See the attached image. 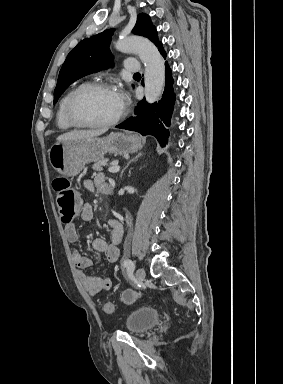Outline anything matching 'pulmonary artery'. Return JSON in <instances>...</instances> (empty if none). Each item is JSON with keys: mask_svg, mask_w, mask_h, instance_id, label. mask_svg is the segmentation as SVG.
<instances>
[{"mask_svg": "<svg viewBox=\"0 0 283 384\" xmlns=\"http://www.w3.org/2000/svg\"><path fill=\"white\" fill-rule=\"evenodd\" d=\"M138 61H126L125 70L126 71H137L138 70Z\"/></svg>", "mask_w": 283, "mask_h": 384, "instance_id": "pulmonary-artery-1", "label": "pulmonary artery"}]
</instances>
